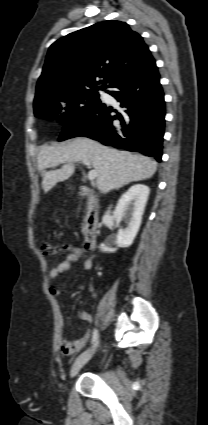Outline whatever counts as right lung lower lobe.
Segmentation results:
<instances>
[{"mask_svg":"<svg viewBox=\"0 0 208 425\" xmlns=\"http://www.w3.org/2000/svg\"><path fill=\"white\" fill-rule=\"evenodd\" d=\"M107 87L116 88L107 93L125 110L118 112L101 103L97 108L65 122L59 141L85 136L106 146L155 157L160 162L165 101L158 68L151 53L120 71Z\"/></svg>","mask_w":208,"mask_h":425,"instance_id":"obj_1","label":"right lung lower lobe"}]
</instances>
